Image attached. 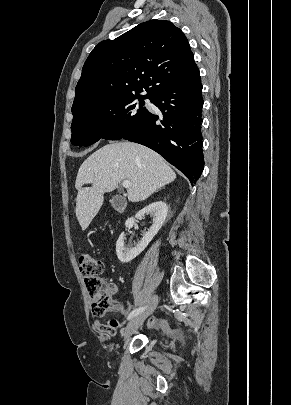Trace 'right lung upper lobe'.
Instances as JSON below:
<instances>
[{"instance_id":"right-lung-upper-lobe-1","label":"right lung upper lobe","mask_w":291,"mask_h":405,"mask_svg":"<svg viewBox=\"0 0 291 405\" xmlns=\"http://www.w3.org/2000/svg\"><path fill=\"white\" fill-rule=\"evenodd\" d=\"M199 74L187 38L173 23L150 20L100 42L87 58L75 89L72 113L125 96L152 98L167 85Z\"/></svg>"}]
</instances>
